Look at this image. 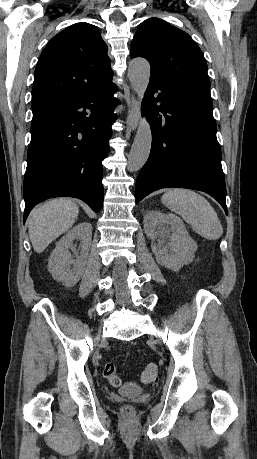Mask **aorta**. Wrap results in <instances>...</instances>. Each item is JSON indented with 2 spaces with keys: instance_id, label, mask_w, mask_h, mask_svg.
Returning <instances> with one entry per match:
<instances>
[{
  "instance_id": "obj_1",
  "label": "aorta",
  "mask_w": 257,
  "mask_h": 459,
  "mask_svg": "<svg viewBox=\"0 0 257 459\" xmlns=\"http://www.w3.org/2000/svg\"><path fill=\"white\" fill-rule=\"evenodd\" d=\"M128 78L141 103L150 80V65L148 61L143 58L133 59L129 63ZM151 143L150 125L146 119L141 118L128 157L127 169L130 172L138 171L146 163L150 154Z\"/></svg>"
}]
</instances>
